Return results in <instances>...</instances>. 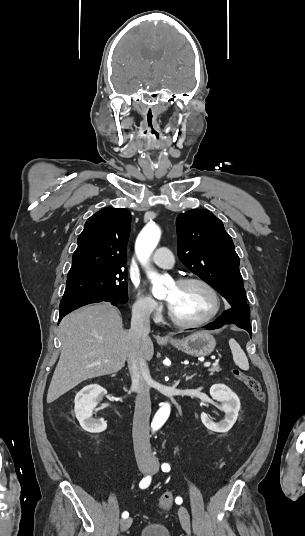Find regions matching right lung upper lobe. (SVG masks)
<instances>
[{
    "mask_svg": "<svg viewBox=\"0 0 305 536\" xmlns=\"http://www.w3.org/2000/svg\"><path fill=\"white\" fill-rule=\"evenodd\" d=\"M130 227L131 214L124 208L108 207L91 216L78 237L67 278L124 267Z\"/></svg>",
    "mask_w": 305,
    "mask_h": 536,
    "instance_id": "1",
    "label": "right lung upper lobe"
}]
</instances>
